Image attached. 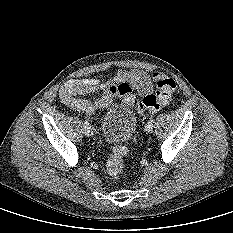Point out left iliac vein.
<instances>
[{"instance_id":"obj_1","label":"left iliac vein","mask_w":233,"mask_h":233,"mask_svg":"<svg viewBox=\"0 0 233 233\" xmlns=\"http://www.w3.org/2000/svg\"><path fill=\"white\" fill-rule=\"evenodd\" d=\"M145 131H146L147 133H150V132L152 131V128L147 124V125L145 126Z\"/></svg>"}]
</instances>
